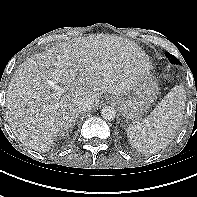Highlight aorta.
Wrapping results in <instances>:
<instances>
[{"label":"aorta","instance_id":"obj_1","mask_svg":"<svg viewBox=\"0 0 197 197\" xmlns=\"http://www.w3.org/2000/svg\"><path fill=\"white\" fill-rule=\"evenodd\" d=\"M101 116L105 120L112 121L116 116V110L111 106H106L102 108Z\"/></svg>","mask_w":197,"mask_h":197}]
</instances>
